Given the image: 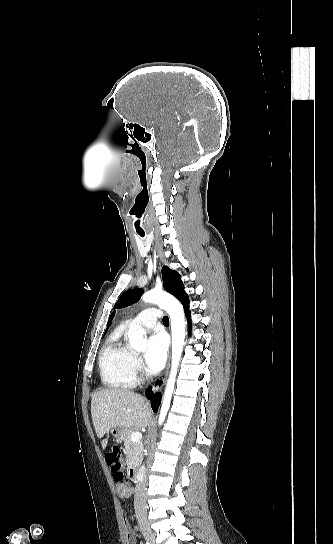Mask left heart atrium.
Segmentation results:
<instances>
[{
  "mask_svg": "<svg viewBox=\"0 0 333 544\" xmlns=\"http://www.w3.org/2000/svg\"><path fill=\"white\" fill-rule=\"evenodd\" d=\"M168 350V339L162 332H155L148 340L144 355L145 363L151 371H159L165 364Z\"/></svg>",
  "mask_w": 333,
  "mask_h": 544,
  "instance_id": "1",
  "label": "left heart atrium"
}]
</instances>
